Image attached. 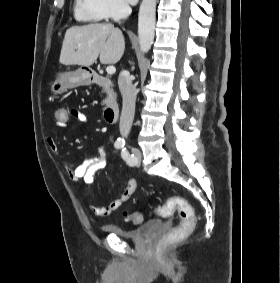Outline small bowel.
<instances>
[{"label":"small bowel","mask_w":280,"mask_h":283,"mask_svg":"<svg viewBox=\"0 0 280 283\" xmlns=\"http://www.w3.org/2000/svg\"><path fill=\"white\" fill-rule=\"evenodd\" d=\"M69 114L72 115L80 123H86V115L76 109L68 110ZM68 121V119H67ZM67 122H56V126L63 128L66 126ZM46 143L48 148L54 154H58L59 147L52 135H48L46 138ZM107 164V155L105 148L100 146L97 153L86 157L80 164L74 165L71 163H65V169L69 178L74 182L83 181L86 184H91L93 182L94 176L97 172L105 168ZM137 188V182L134 179L128 181L125 189L121 195L111 201L107 206H99L95 203L89 204V209L97 217H107L112 213L117 211L124 202H126L135 192Z\"/></svg>","instance_id":"small-bowel-1"}]
</instances>
